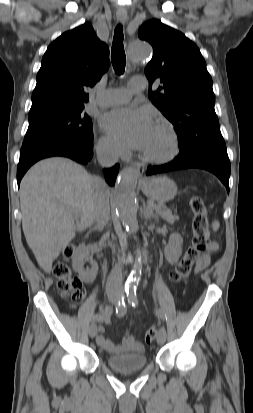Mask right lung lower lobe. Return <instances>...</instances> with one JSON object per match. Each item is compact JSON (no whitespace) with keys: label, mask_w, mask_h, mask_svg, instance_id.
<instances>
[{"label":"right lung lower lobe","mask_w":253,"mask_h":413,"mask_svg":"<svg viewBox=\"0 0 253 413\" xmlns=\"http://www.w3.org/2000/svg\"><path fill=\"white\" fill-rule=\"evenodd\" d=\"M93 155V141L92 142H59L53 143L30 150L20 152V160L17 167V182L18 186L23 175L35 162L52 156H63L71 158L81 164H87ZM119 165L116 164L110 169H105V179L107 183L114 186L118 174Z\"/></svg>","instance_id":"98d812e1"}]
</instances>
